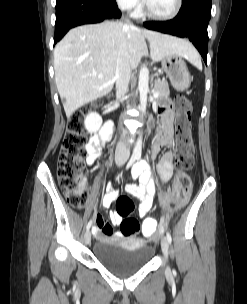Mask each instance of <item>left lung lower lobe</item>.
Instances as JSON below:
<instances>
[{
	"mask_svg": "<svg viewBox=\"0 0 247 304\" xmlns=\"http://www.w3.org/2000/svg\"><path fill=\"white\" fill-rule=\"evenodd\" d=\"M212 0H182L178 15L170 21L145 22L144 26L178 37H186L207 61V27L211 17Z\"/></svg>",
	"mask_w": 247,
	"mask_h": 304,
	"instance_id": "left-lung-lower-lobe-1",
	"label": "left lung lower lobe"
}]
</instances>
